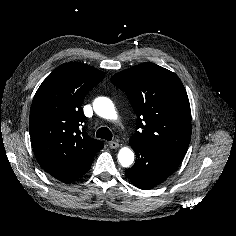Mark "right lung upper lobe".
<instances>
[{
    "instance_id": "cb5924a9",
    "label": "right lung upper lobe",
    "mask_w": 236,
    "mask_h": 236,
    "mask_svg": "<svg viewBox=\"0 0 236 236\" xmlns=\"http://www.w3.org/2000/svg\"><path fill=\"white\" fill-rule=\"evenodd\" d=\"M104 73L78 62L64 63L40 85L30 110L34 154L43 169L55 173L94 158L103 143L87 136L81 105Z\"/></svg>"
}]
</instances>
